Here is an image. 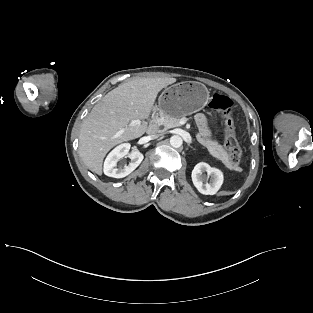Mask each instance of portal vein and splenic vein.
I'll return each mask as SVG.
<instances>
[{"label": "portal vein and splenic vein", "instance_id": "obj_1", "mask_svg": "<svg viewBox=\"0 0 313 313\" xmlns=\"http://www.w3.org/2000/svg\"><path fill=\"white\" fill-rule=\"evenodd\" d=\"M140 123H141L140 120H134V121H132V124H133V125H138V124H140ZM117 135H119V133H118Z\"/></svg>", "mask_w": 313, "mask_h": 313}]
</instances>
